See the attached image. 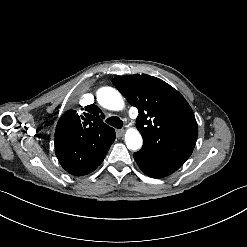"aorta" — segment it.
Returning <instances> with one entry per match:
<instances>
[{"label": "aorta", "instance_id": "obj_1", "mask_svg": "<svg viewBox=\"0 0 247 247\" xmlns=\"http://www.w3.org/2000/svg\"><path fill=\"white\" fill-rule=\"evenodd\" d=\"M97 100L106 109L119 111L124 107V100L118 90L112 87H102L97 92ZM125 142L130 150H138L142 147L143 139L139 131L130 128L125 133Z\"/></svg>", "mask_w": 247, "mask_h": 247}]
</instances>
